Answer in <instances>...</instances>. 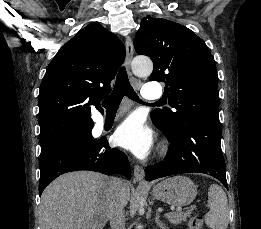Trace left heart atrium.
<instances>
[{"label":"left heart atrium","instance_id":"1","mask_svg":"<svg viewBox=\"0 0 261 229\" xmlns=\"http://www.w3.org/2000/svg\"><path fill=\"white\" fill-rule=\"evenodd\" d=\"M113 141L137 156H145L153 146L154 134L142 118L133 115L116 128Z\"/></svg>","mask_w":261,"mask_h":229}]
</instances>
